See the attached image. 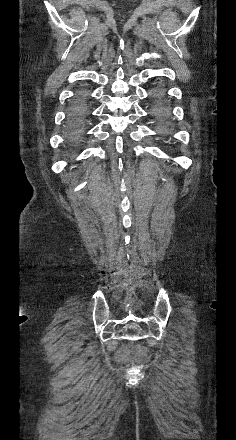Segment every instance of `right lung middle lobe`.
Segmentation results:
<instances>
[{
	"mask_svg": "<svg viewBox=\"0 0 236 440\" xmlns=\"http://www.w3.org/2000/svg\"><path fill=\"white\" fill-rule=\"evenodd\" d=\"M81 98L83 100L84 97H81ZM86 111H87L86 107H85V105L83 103V105H81L80 109H78V111H77L78 115H79V118H82L81 120H83V118H84V116L86 114ZM81 122L77 123L76 125H71V126L68 127V129H67V137L70 140H76L77 137L79 136V134H80L79 127L81 125Z\"/></svg>",
	"mask_w": 236,
	"mask_h": 440,
	"instance_id": "1",
	"label": "right lung middle lobe"
}]
</instances>
